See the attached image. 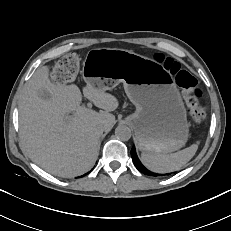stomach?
<instances>
[{"label":"stomach","mask_w":231,"mask_h":231,"mask_svg":"<svg viewBox=\"0 0 231 231\" xmlns=\"http://www.w3.org/2000/svg\"><path fill=\"white\" fill-rule=\"evenodd\" d=\"M82 74L87 83L104 91L123 83L136 107L126 120L142 152L167 154L185 145L186 109L173 76L161 64L128 50L100 48L88 53Z\"/></svg>","instance_id":"stomach-1"}]
</instances>
